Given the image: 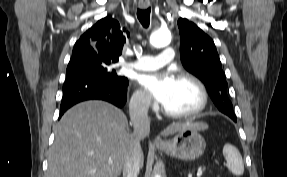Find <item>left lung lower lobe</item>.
<instances>
[{
  "label": "left lung lower lobe",
  "mask_w": 287,
  "mask_h": 177,
  "mask_svg": "<svg viewBox=\"0 0 287 177\" xmlns=\"http://www.w3.org/2000/svg\"><path fill=\"white\" fill-rule=\"evenodd\" d=\"M230 117V116H229ZM230 118H232L234 121H236V117L235 116H232V117H230Z\"/></svg>",
  "instance_id": "1"
}]
</instances>
